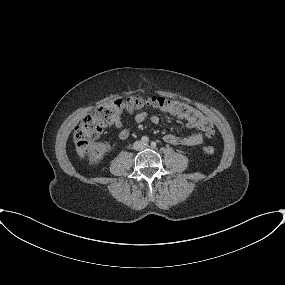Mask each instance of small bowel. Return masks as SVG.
<instances>
[{
  "label": "small bowel",
  "instance_id": "c3829d8e",
  "mask_svg": "<svg viewBox=\"0 0 285 285\" xmlns=\"http://www.w3.org/2000/svg\"><path fill=\"white\" fill-rule=\"evenodd\" d=\"M147 118H149V113L146 110L138 111L134 116V119L137 123H143ZM150 121L153 124H158L160 121V118L158 115H151ZM187 125L189 127L197 128V127L192 126L188 122H187ZM115 127L120 129L118 133V137L121 140H126L130 137L131 130L129 128L124 127V123L121 119H117V121L115 122ZM206 136L210 137L212 136V134H208L205 131L199 129V131L193 134L184 135V136H179L175 134H166L164 136V141L172 145H183V146L192 147V146L201 145L204 142V139Z\"/></svg>",
  "mask_w": 285,
  "mask_h": 285
}]
</instances>
